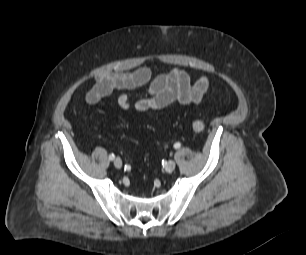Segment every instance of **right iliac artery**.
Listing matches in <instances>:
<instances>
[{"mask_svg":"<svg viewBox=\"0 0 306 255\" xmlns=\"http://www.w3.org/2000/svg\"><path fill=\"white\" fill-rule=\"evenodd\" d=\"M114 158H115L114 154L109 155L110 160H114Z\"/></svg>","mask_w":306,"mask_h":255,"instance_id":"obj_1","label":"right iliac artery"}]
</instances>
